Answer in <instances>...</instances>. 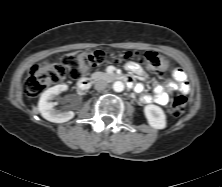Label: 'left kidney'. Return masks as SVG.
<instances>
[{
	"mask_svg": "<svg viewBox=\"0 0 222 187\" xmlns=\"http://www.w3.org/2000/svg\"><path fill=\"white\" fill-rule=\"evenodd\" d=\"M144 113L151 127L155 129H164L166 127V115L159 106L153 104L146 105Z\"/></svg>",
	"mask_w": 222,
	"mask_h": 187,
	"instance_id": "obj_1",
	"label": "left kidney"
}]
</instances>
